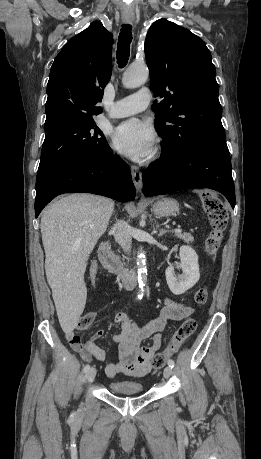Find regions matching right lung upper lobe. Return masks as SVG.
<instances>
[{
	"instance_id": "cb5924a9",
	"label": "right lung upper lobe",
	"mask_w": 261,
	"mask_h": 459,
	"mask_svg": "<svg viewBox=\"0 0 261 459\" xmlns=\"http://www.w3.org/2000/svg\"><path fill=\"white\" fill-rule=\"evenodd\" d=\"M113 39L99 22L71 38L55 58L47 85L44 129L93 120L111 76Z\"/></svg>"
}]
</instances>
